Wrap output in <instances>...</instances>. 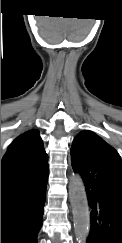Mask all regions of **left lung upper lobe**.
Instances as JSON below:
<instances>
[{"label": "left lung upper lobe", "mask_w": 122, "mask_h": 243, "mask_svg": "<svg viewBox=\"0 0 122 243\" xmlns=\"http://www.w3.org/2000/svg\"><path fill=\"white\" fill-rule=\"evenodd\" d=\"M106 147L112 148L102 138L92 131H82L74 139L71 148V163L76 166L77 161L85 156L102 152Z\"/></svg>", "instance_id": "left-lung-upper-lobe-1"}]
</instances>
